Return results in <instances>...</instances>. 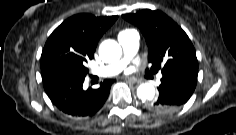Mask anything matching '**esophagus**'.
I'll use <instances>...</instances> for the list:
<instances>
[{"label":"esophagus","instance_id":"34e87169","mask_svg":"<svg viewBox=\"0 0 236 135\" xmlns=\"http://www.w3.org/2000/svg\"><path fill=\"white\" fill-rule=\"evenodd\" d=\"M127 83L130 84L131 86H134V87L139 85L138 81H135V80H132V79H128Z\"/></svg>","mask_w":236,"mask_h":135}]
</instances>
